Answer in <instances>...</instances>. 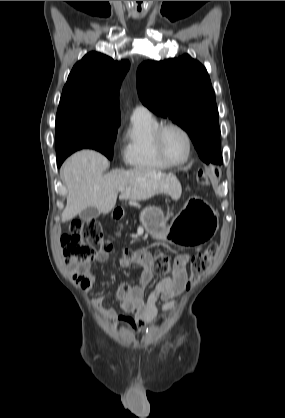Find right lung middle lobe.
Here are the masks:
<instances>
[{
	"instance_id": "1",
	"label": "right lung middle lobe",
	"mask_w": 285,
	"mask_h": 418,
	"mask_svg": "<svg viewBox=\"0 0 285 418\" xmlns=\"http://www.w3.org/2000/svg\"><path fill=\"white\" fill-rule=\"evenodd\" d=\"M120 120L92 111L61 109L56 116L57 159H65L73 152L90 148L113 156Z\"/></svg>"
}]
</instances>
